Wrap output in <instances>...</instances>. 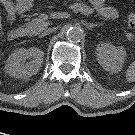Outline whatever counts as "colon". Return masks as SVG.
Returning <instances> with one entry per match:
<instances>
[{"label":"colon","instance_id":"obj_1","mask_svg":"<svg viewBox=\"0 0 135 135\" xmlns=\"http://www.w3.org/2000/svg\"><path fill=\"white\" fill-rule=\"evenodd\" d=\"M129 25L135 28V11H132L128 16Z\"/></svg>","mask_w":135,"mask_h":135}]
</instances>
